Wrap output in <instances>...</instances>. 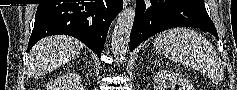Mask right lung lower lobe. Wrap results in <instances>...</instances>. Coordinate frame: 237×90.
Returning <instances> with one entry per match:
<instances>
[{
  "mask_svg": "<svg viewBox=\"0 0 237 90\" xmlns=\"http://www.w3.org/2000/svg\"><path fill=\"white\" fill-rule=\"evenodd\" d=\"M122 8V0L40 4L28 52L46 36L65 34L79 39L100 57L108 28Z\"/></svg>",
  "mask_w": 237,
  "mask_h": 90,
  "instance_id": "98d812e1",
  "label": "right lung lower lobe"
}]
</instances>
